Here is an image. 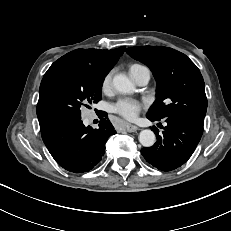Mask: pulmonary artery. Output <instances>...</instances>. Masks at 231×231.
<instances>
[{
	"label": "pulmonary artery",
	"mask_w": 231,
	"mask_h": 231,
	"mask_svg": "<svg viewBox=\"0 0 231 231\" xmlns=\"http://www.w3.org/2000/svg\"><path fill=\"white\" fill-rule=\"evenodd\" d=\"M130 75L135 83L140 86L146 85L150 80V71L146 67L133 69Z\"/></svg>",
	"instance_id": "e3ab8cb5"
}]
</instances>
